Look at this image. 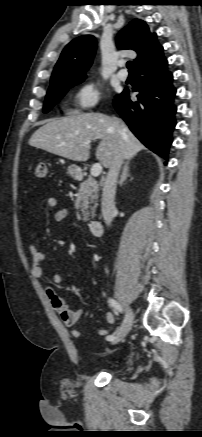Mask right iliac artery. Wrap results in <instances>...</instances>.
Segmentation results:
<instances>
[{
    "instance_id": "obj_1",
    "label": "right iliac artery",
    "mask_w": 202,
    "mask_h": 437,
    "mask_svg": "<svg viewBox=\"0 0 202 437\" xmlns=\"http://www.w3.org/2000/svg\"><path fill=\"white\" fill-rule=\"evenodd\" d=\"M109 304L118 311L122 310L120 305L114 299H109ZM114 339H115L114 335L107 336L108 341H113Z\"/></svg>"
}]
</instances>
